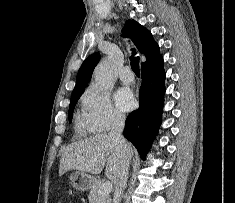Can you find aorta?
I'll list each match as a JSON object with an SVG mask.
<instances>
[{"mask_svg": "<svg viewBox=\"0 0 235 203\" xmlns=\"http://www.w3.org/2000/svg\"><path fill=\"white\" fill-rule=\"evenodd\" d=\"M94 79L100 91L113 86L112 70L108 60L101 61L94 70Z\"/></svg>", "mask_w": 235, "mask_h": 203, "instance_id": "aorta-1", "label": "aorta"}]
</instances>
